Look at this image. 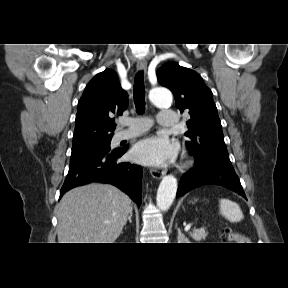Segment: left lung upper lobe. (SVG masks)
Wrapping results in <instances>:
<instances>
[{"label": "left lung upper lobe", "instance_id": "5c2ea615", "mask_svg": "<svg viewBox=\"0 0 288 288\" xmlns=\"http://www.w3.org/2000/svg\"><path fill=\"white\" fill-rule=\"evenodd\" d=\"M158 82L169 88L180 112L188 111L187 148L196 160L214 161L233 168L224 142L222 126L212 91L195 71L176 62L164 64L157 72Z\"/></svg>", "mask_w": 288, "mask_h": 288}]
</instances>
